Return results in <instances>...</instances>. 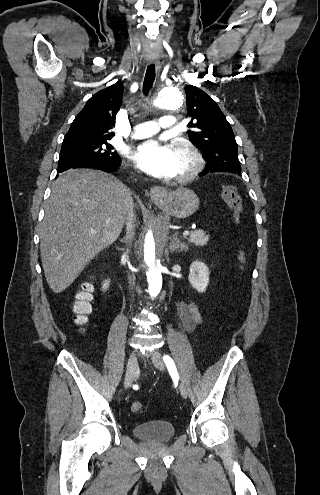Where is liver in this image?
<instances>
[{
	"label": "liver",
	"mask_w": 320,
	"mask_h": 495,
	"mask_svg": "<svg viewBox=\"0 0 320 495\" xmlns=\"http://www.w3.org/2000/svg\"><path fill=\"white\" fill-rule=\"evenodd\" d=\"M130 192L104 172L71 169L54 181L40 230V252L49 287L61 293L86 264L119 237Z\"/></svg>",
	"instance_id": "obj_1"
}]
</instances>
